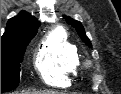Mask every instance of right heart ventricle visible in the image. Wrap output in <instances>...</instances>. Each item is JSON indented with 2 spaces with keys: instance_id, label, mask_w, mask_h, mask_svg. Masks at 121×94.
Returning a JSON list of instances; mask_svg holds the SVG:
<instances>
[{
  "instance_id": "1",
  "label": "right heart ventricle",
  "mask_w": 121,
  "mask_h": 94,
  "mask_svg": "<svg viewBox=\"0 0 121 94\" xmlns=\"http://www.w3.org/2000/svg\"><path fill=\"white\" fill-rule=\"evenodd\" d=\"M81 58L77 46L69 40L62 28L50 32L41 42L35 66L48 85L64 87L80 68Z\"/></svg>"
}]
</instances>
